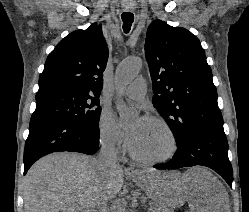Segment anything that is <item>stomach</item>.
<instances>
[{
  "label": "stomach",
  "mask_w": 249,
  "mask_h": 212,
  "mask_svg": "<svg viewBox=\"0 0 249 212\" xmlns=\"http://www.w3.org/2000/svg\"><path fill=\"white\" fill-rule=\"evenodd\" d=\"M140 180L148 198H188L183 188L188 179H181L177 170H146ZM154 204H184V199H154ZM163 210H185V205H163Z\"/></svg>",
  "instance_id": "0dacf381"
}]
</instances>
